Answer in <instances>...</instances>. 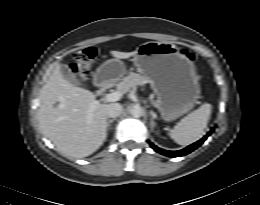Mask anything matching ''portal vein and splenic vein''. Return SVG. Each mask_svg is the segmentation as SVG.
Listing matches in <instances>:
<instances>
[{
	"label": "portal vein and splenic vein",
	"mask_w": 260,
	"mask_h": 205,
	"mask_svg": "<svg viewBox=\"0 0 260 205\" xmlns=\"http://www.w3.org/2000/svg\"><path fill=\"white\" fill-rule=\"evenodd\" d=\"M122 95H123L122 93L116 91L113 93L106 94L104 99L107 102H115V101L120 100ZM98 104H99L98 100H95L94 102H92L90 105V110L92 111Z\"/></svg>",
	"instance_id": "1"
}]
</instances>
